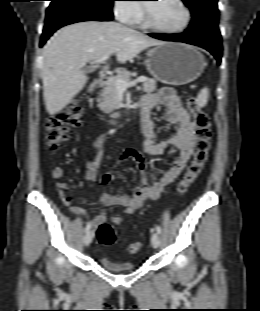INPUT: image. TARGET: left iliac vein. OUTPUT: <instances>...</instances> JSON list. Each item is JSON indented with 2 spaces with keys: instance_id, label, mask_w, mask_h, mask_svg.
<instances>
[{
  "instance_id": "left-iliac-vein-1",
  "label": "left iliac vein",
  "mask_w": 260,
  "mask_h": 311,
  "mask_svg": "<svg viewBox=\"0 0 260 311\" xmlns=\"http://www.w3.org/2000/svg\"><path fill=\"white\" fill-rule=\"evenodd\" d=\"M151 244L154 248H158L160 245V236L158 233H153L151 236Z\"/></svg>"
}]
</instances>
